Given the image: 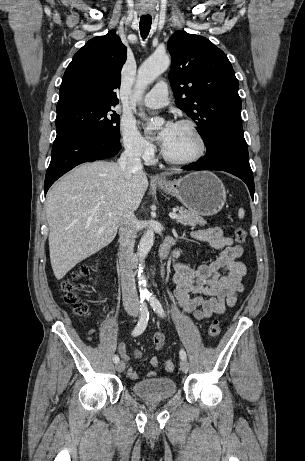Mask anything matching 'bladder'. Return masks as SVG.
Returning <instances> with one entry per match:
<instances>
[{
  "mask_svg": "<svg viewBox=\"0 0 305 461\" xmlns=\"http://www.w3.org/2000/svg\"><path fill=\"white\" fill-rule=\"evenodd\" d=\"M132 391L142 398L166 400L177 393V386L170 377H154L133 383Z\"/></svg>",
  "mask_w": 305,
  "mask_h": 461,
  "instance_id": "obj_1",
  "label": "bladder"
}]
</instances>
